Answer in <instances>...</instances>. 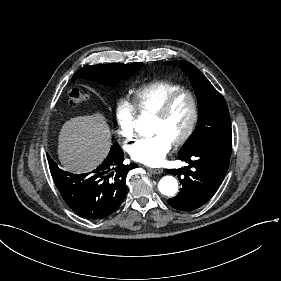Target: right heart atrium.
<instances>
[{
    "label": "right heart atrium",
    "mask_w": 281,
    "mask_h": 281,
    "mask_svg": "<svg viewBox=\"0 0 281 281\" xmlns=\"http://www.w3.org/2000/svg\"><path fill=\"white\" fill-rule=\"evenodd\" d=\"M115 111L118 131L123 140V149L128 151V142L138 137L139 128L135 120V109L127 100L120 98L116 103Z\"/></svg>",
    "instance_id": "d8ad5b80"
}]
</instances>
